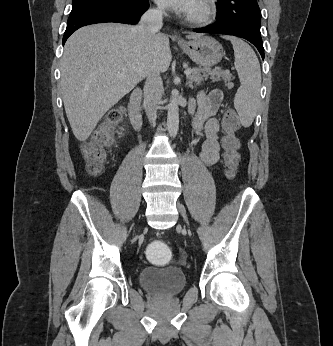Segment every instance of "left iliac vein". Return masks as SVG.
Returning a JSON list of instances; mask_svg holds the SVG:
<instances>
[{"mask_svg": "<svg viewBox=\"0 0 333 346\" xmlns=\"http://www.w3.org/2000/svg\"><path fill=\"white\" fill-rule=\"evenodd\" d=\"M177 208H178V211L180 212V214L182 215V217L187 221L188 219H187V214H186L185 207L178 202L177 203Z\"/></svg>", "mask_w": 333, "mask_h": 346, "instance_id": "1", "label": "left iliac vein"}]
</instances>
